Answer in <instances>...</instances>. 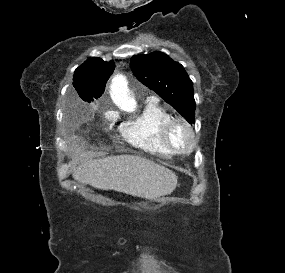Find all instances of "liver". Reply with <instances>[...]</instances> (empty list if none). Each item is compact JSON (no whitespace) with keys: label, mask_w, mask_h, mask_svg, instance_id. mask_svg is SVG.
<instances>
[{"label":"liver","mask_w":285,"mask_h":273,"mask_svg":"<svg viewBox=\"0 0 285 273\" xmlns=\"http://www.w3.org/2000/svg\"><path fill=\"white\" fill-rule=\"evenodd\" d=\"M73 151L76 156L81 154L77 145ZM72 177L97 189L114 190L146 199L169 195L177 185V176L170 169L136 155L82 161L73 169Z\"/></svg>","instance_id":"obj_1"}]
</instances>
